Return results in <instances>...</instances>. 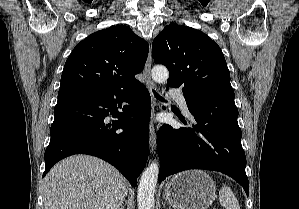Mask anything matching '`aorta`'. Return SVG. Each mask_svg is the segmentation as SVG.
I'll return each mask as SVG.
<instances>
[{
    "label": "aorta",
    "instance_id": "762f6f07",
    "mask_svg": "<svg viewBox=\"0 0 299 209\" xmlns=\"http://www.w3.org/2000/svg\"><path fill=\"white\" fill-rule=\"evenodd\" d=\"M151 75L154 81L161 83L167 81L169 72L165 66L153 67ZM159 175V164L153 161L142 173L138 187V209H154L155 190Z\"/></svg>",
    "mask_w": 299,
    "mask_h": 209
}]
</instances>
